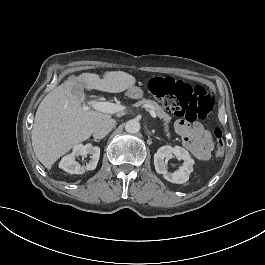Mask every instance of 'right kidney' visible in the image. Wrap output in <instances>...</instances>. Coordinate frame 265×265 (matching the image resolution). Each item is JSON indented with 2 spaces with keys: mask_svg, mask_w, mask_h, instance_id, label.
I'll return each mask as SVG.
<instances>
[{
  "mask_svg": "<svg viewBox=\"0 0 265 265\" xmlns=\"http://www.w3.org/2000/svg\"><path fill=\"white\" fill-rule=\"evenodd\" d=\"M90 155V161L85 166H81L75 159L78 156L86 157ZM100 157V148L98 146H93L88 143L86 145L77 144L74 145L71 154L64 156L60 163L59 168L70 174H83L85 171L94 170L97 166Z\"/></svg>",
  "mask_w": 265,
  "mask_h": 265,
  "instance_id": "ca27d5eb",
  "label": "right kidney"
}]
</instances>
